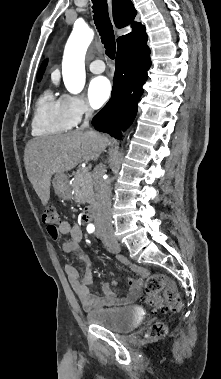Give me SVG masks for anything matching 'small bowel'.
<instances>
[{
    "label": "small bowel",
    "mask_w": 221,
    "mask_h": 379,
    "mask_svg": "<svg viewBox=\"0 0 221 379\" xmlns=\"http://www.w3.org/2000/svg\"><path fill=\"white\" fill-rule=\"evenodd\" d=\"M48 233L53 240H57L62 235H70V240L63 243V251L67 254H73L86 265V269L83 272H80L76 266L70 263H65L64 265L69 282L81 299L85 311L100 307L124 306L133 303L140 296L143 281L147 277L148 272L146 269L130 263L124 258H121L120 261L128 266L137 276L136 279H129L128 293L124 296H118L105 282L101 283L103 296L92 293L91 286L95 283V271L91 258L80 245L83 233L76 221H62L57 226L55 233L50 231Z\"/></svg>",
    "instance_id": "obj_1"
}]
</instances>
